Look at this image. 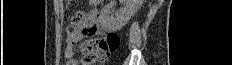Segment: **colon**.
Returning <instances> with one entry per match:
<instances>
[{
    "mask_svg": "<svg viewBox=\"0 0 232 65\" xmlns=\"http://www.w3.org/2000/svg\"><path fill=\"white\" fill-rule=\"evenodd\" d=\"M92 2H99V0H92ZM81 19L82 15L79 14L73 19V24H78ZM74 31V26L69 27V34L74 33ZM119 44V36L115 33H108L104 38L98 41H85L81 45V51L84 54V59L94 64L96 61H104L111 52L118 49Z\"/></svg>",
    "mask_w": 232,
    "mask_h": 65,
    "instance_id": "1",
    "label": "colon"
}]
</instances>
